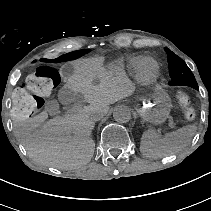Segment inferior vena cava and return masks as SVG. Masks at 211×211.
<instances>
[{"mask_svg":"<svg viewBox=\"0 0 211 211\" xmlns=\"http://www.w3.org/2000/svg\"><path fill=\"white\" fill-rule=\"evenodd\" d=\"M101 118H102V114L99 113V112L94 113V114L92 115V117H91V119L94 120V121H97V120H99V119H101Z\"/></svg>","mask_w":211,"mask_h":211,"instance_id":"1","label":"inferior vena cava"}]
</instances>
